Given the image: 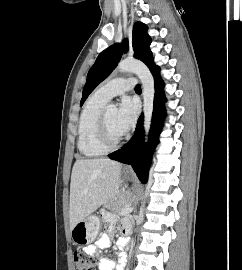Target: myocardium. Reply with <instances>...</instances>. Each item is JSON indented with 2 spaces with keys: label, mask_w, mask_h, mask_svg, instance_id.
I'll return each mask as SVG.
<instances>
[{
  "label": "myocardium",
  "mask_w": 242,
  "mask_h": 270,
  "mask_svg": "<svg viewBox=\"0 0 242 270\" xmlns=\"http://www.w3.org/2000/svg\"><path fill=\"white\" fill-rule=\"evenodd\" d=\"M107 111L103 110L99 122H98V131L97 137L100 145L106 150L111 151L118 148L126 138V134H123L119 139L112 140L108 123H107Z\"/></svg>",
  "instance_id": "f54148a6"
}]
</instances>
